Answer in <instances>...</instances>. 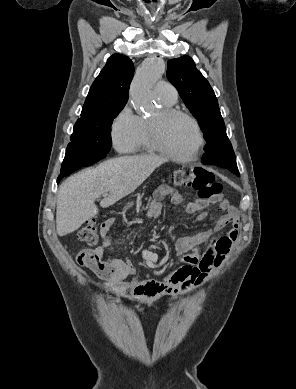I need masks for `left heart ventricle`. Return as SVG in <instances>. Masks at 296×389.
Listing matches in <instances>:
<instances>
[{"mask_svg":"<svg viewBox=\"0 0 296 389\" xmlns=\"http://www.w3.org/2000/svg\"><path fill=\"white\" fill-rule=\"evenodd\" d=\"M160 111L151 120L159 118ZM160 134L165 146L177 155H187L197 142L192 123L184 117H173L160 122Z\"/></svg>","mask_w":296,"mask_h":389,"instance_id":"left-heart-ventricle-1","label":"left heart ventricle"}]
</instances>
